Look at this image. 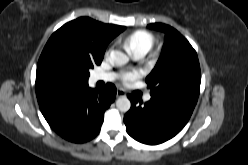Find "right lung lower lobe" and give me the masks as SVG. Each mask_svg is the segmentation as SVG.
Wrapping results in <instances>:
<instances>
[{
  "instance_id": "1",
  "label": "right lung lower lobe",
  "mask_w": 248,
  "mask_h": 165,
  "mask_svg": "<svg viewBox=\"0 0 248 165\" xmlns=\"http://www.w3.org/2000/svg\"><path fill=\"white\" fill-rule=\"evenodd\" d=\"M116 87L107 83L102 90L86 88L78 93L39 103L41 112L60 136L75 143L94 138L100 131L103 115L115 100Z\"/></svg>"
}]
</instances>
